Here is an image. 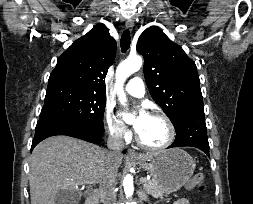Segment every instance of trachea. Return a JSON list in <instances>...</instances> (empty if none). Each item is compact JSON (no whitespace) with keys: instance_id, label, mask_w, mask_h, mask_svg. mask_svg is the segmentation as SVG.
Returning <instances> with one entry per match:
<instances>
[{"instance_id":"1","label":"trachea","mask_w":253,"mask_h":204,"mask_svg":"<svg viewBox=\"0 0 253 204\" xmlns=\"http://www.w3.org/2000/svg\"><path fill=\"white\" fill-rule=\"evenodd\" d=\"M130 40H131L130 32H129V30H125L122 33V36H121V44H120V46H121V51L122 52H126L129 49Z\"/></svg>"}]
</instances>
